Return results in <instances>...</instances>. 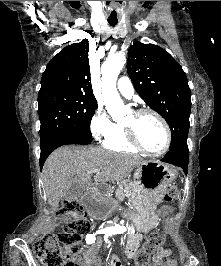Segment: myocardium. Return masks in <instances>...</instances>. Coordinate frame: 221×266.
I'll return each mask as SVG.
<instances>
[{"instance_id": "obj_1", "label": "myocardium", "mask_w": 221, "mask_h": 266, "mask_svg": "<svg viewBox=\"0 0 221 266\" xmlns=\"http://www.w3.org/2000/svg\"><path fill=\"white\" fill-rule=\"evenodd\" d=\"M145 114H151L153 115L154 117H156L159 122L161 123V125L163 126L164 128V131H165V142H164V145L163 147L158 150V151H150L148 149H146L139 141L138 137H137V134H136V130L134 128V126H130V125H126V124H123V127H124V130L126 132V136H127V139L128 141L131 143V145L133 147H135L138 151L144 153L145 155H148V156H151V157H159L163 154H165L169 147H170V144H171V130H170V127L167 123V121L164 119V117L159 114L157 111L153 110V109H150V108H141V109H137L133 112V115L138 118V117H141Z\"/></svg>"}]
</instances>
